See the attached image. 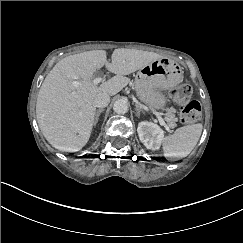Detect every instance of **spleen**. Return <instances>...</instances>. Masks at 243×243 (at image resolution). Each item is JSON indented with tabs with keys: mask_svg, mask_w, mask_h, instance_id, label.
<instances>
[{
	"mask_svg": "<svg viewBox=\"0 0 243 243\" xmlns=\"http://www.w3.org/2000/svg\"><path fill=\"white\" fill-rule=\"evenodd\" d=\"M203 126L201 123L178 128L173 135L162 141L165 157H186L196 146Z\"/></svg>",
	"mask_w": 243,
	"mask_h": 243,
	"instance_id": "obj_1",
	"label": "spleen"
}]
</instances>
